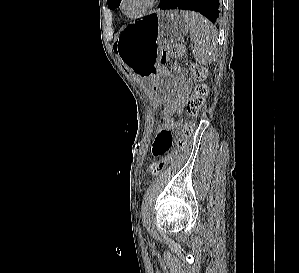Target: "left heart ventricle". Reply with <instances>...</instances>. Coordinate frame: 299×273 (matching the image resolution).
Masks as SVG:
<instances>
[{
  "mask_svg": "<svg viewBox=\"0 0 299 273\" xmlns=\"http://www.w3.org/2000/svg\"><path fill=\"white\" fill-rule=\"evenodd\" d=\"M147 0H126L125 11L128 13H135L142 9Z\"/></svg>",
  "mask_w": 299,
  "mask_h": 273,
  "instance_id": "1",
  "label": "left heart ventricle"
}]
</instances>
